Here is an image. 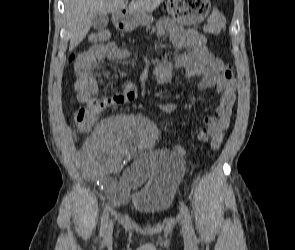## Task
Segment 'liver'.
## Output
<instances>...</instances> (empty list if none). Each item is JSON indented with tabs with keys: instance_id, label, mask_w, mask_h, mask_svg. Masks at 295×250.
<instances>
[{
	"instance_id": "obj_1",
	"label": "liver",
	"mask_w": 295,
	"mask_h": 250,
	"mask_svg": "<svg viewBox=\"0 0 295 250\" xmlns=\"http://www.w3.org/2000/svg\"><path fill=\"white\" fill-rule=\"evenodd\" d=\"M126 0H64L65 16L72 51L88 34L92 18L98 14L121 12L127 9ZM164 0H131L128 11L147 13L154 11Z\"/></svg>"
}]
</instances>
